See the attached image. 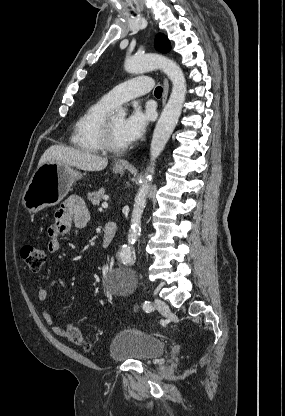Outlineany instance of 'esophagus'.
Masks as SVG:
<instances>
[{
    "label": "esophagus",
    "mask_w": 285,
    "mask_h": 416,
    "mask_svg": "<svg viewBox=\"0 0 285 416\" xmlns=\"http://www.w3.org/2000/svg\"><path fill=\"white\" fill-rule=\"evenodd\" d=\"M168 93H169V82L167 78H164V82H163V97H162V104L165 105L166 101H167V97H168ZM120 165L123 166H131L129 165L128 162L122 160L119 162Z\"/></svg>",
    "instance_id": "34e87169"
}]
</instances>
